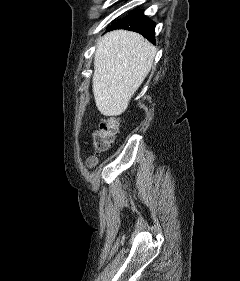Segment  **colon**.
Listing matches in <instances>:
<instances>
[{
  "mask_svg": "<svg viewBox=\"0 0 240 281\" xmlns=\"http://www.w3.org/2000/svg\"><path fill=\"white\" fill-rule=\"evenodd\" d=\"M118 131V122L113 118L104 119L100 122L99 128L92 134V144L97 152L107 150L113 143ZM89 166L95 164V159L91 158Z\"/></svg>",
  "mask_w": 240,
  "mask_h": 281,
  "instance_id": "colon-1",
  "label": "colon"
}]
</instances>
